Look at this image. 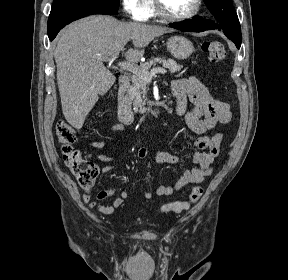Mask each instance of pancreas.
I'll return each instance as SVG.
<instances>
[{
  "label": "pancreas",
  "instance_id": "1",
  "mask_svg": "<svg viewBox=\"0 0 288 280\" xmlns=\"http://www.w3.org/2000/svg\"><path fill=\"white\" fill-rule=\"evenodd\" d=\"M157 62L168 68L171 73H176L182 68V66L177 64L176 61H174L173 59L153 58L148 62L142 63L139 66L140 71H148L151 66H154ZM131 81L133 85L129 91V97L133 103V109L136 113H144L147 110L145 105L147 103L148 82L141 77V74L132 75Z\"/></svg>",
  "mask_w": 288,
  "mask_h": 280
}]
</instances>
